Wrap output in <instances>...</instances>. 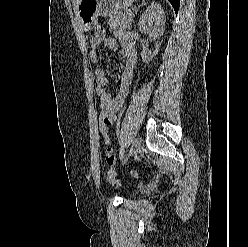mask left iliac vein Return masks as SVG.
Listing matches in <instances>:
<instances>
[{"mask_svg":"<svg viewBox=\"0 0 248 247\" xmlns=\"http://www.w3.org/2000/svg\"><path fill=\"white\" fill-rule=\"evenodd\" d=\"M140 150H141V139L139 137H136L132 142V146L127 160L136 153H138Z\"/></svg>","mask_w":248,"mask_h":247,"instance_id":"1","label":"left iliac vein"}]
</instances>
